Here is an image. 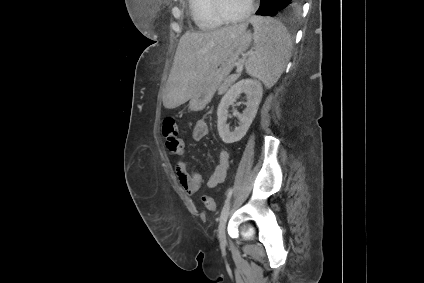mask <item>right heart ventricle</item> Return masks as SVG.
<instances>
[{
	"label": "right heart ventricle",
	"instance_id": "e07e8e85",
	"mask_svg": "<svg viewBox=\"0 0 424 283\" xmlns=\"http://www.w3.org/2000/svg\"><path fill=\"white\" fill-rule=\"evenodd\" d=\"M188 7L193 22L200 30H215L224 24L213 13L212 0H188Z\"/></svg>",
	"mask_w": 424,
	"mask_h": 283
}]
</instances>
